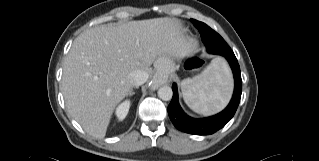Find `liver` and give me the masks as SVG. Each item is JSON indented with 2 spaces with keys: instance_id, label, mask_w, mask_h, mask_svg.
<instances>
[{
  "instance_id": "obj_1",
  "label": "liver",
  "mask_w": 319,
  "mask_h": 161,
  "mask_svg": "<svg viewBox=\"0 0 319 161\" xmlns=\"http://www.w3.org/2000/svg\"><path fill=\"white\" fill-rule=\"evenodd\" d=\"M174 18L100 25L81 33L65 58L62 93L68 113L90 135L103 138L117 104L132 88L129 74L161 55L178 57L191 48Z\"/></svg>"
}]
</instances>
